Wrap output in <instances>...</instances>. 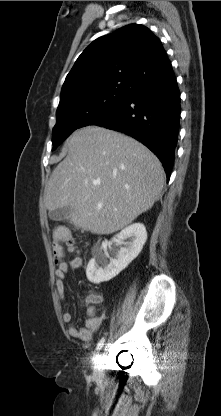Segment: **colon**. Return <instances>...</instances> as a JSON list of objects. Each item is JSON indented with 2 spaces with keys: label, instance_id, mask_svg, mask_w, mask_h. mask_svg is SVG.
<instances>
[{
  "label": "colon",
  "instance_id": "1",
  "mask_svg": "<svg viewBox=\"0 0 221 416\" xmlns=\"http://www.w3.org/2000/svg\"><path fill=\"white\" fill-rule=\"evenodd\" d=\"M52 250L57 262L61 261L66 253L73 254L76 248L72 237L67 230H55L52 235ZM93 303L98 302L97 297L91 300Z\"/></svg>",
  "mask_w": 221,
  "mask_h": 416
}]
</instances>
